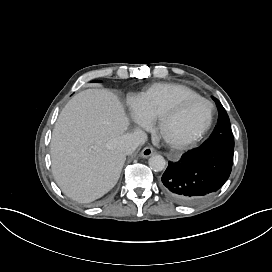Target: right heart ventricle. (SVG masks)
I'll return each mask as SVG.
<instances>
[{
    "label": "right heart ventricle",
    "mask_w": 272,
    "mask_h": 272,
    "mask_svg": "<svg viewBox=\"0 0 272 272\" xmlns=\"http://www.w3.org/2000/svg\"><path fill=\"white\" fill-rule=\"evenodd\" d=\"M197 95L190 88L176 84H158L145 93L136 104V112L144 117L156 118L170 114L184 97Z\"/></svg>",
    "instance_id": "1"
}]
</instances>
